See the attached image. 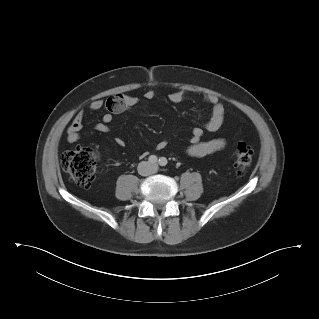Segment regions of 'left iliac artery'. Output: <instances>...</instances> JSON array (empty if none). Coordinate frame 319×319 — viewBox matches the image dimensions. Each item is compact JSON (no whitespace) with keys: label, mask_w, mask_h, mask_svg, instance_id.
<instances>
[{"label":"left iliac artery","mask_w":319,"mask_h":319,"mask_svg":"<svg viewBox=\"0 0 319 319\" xmlns=\"http://www.w3.org/2000/svg\"><path fill=\"white\" fill-rule=\"evenodd\" d=\"M160 166H165L168 162L167 159L165 157H161L158 161Z\"/></svg>","instance_id":"left-iliac-artery-1"}]
</instances>
